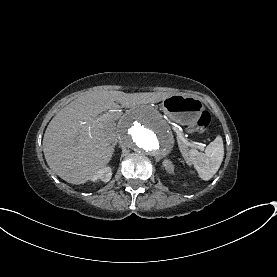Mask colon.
I'll use <instances>...</instances> for the list:
<instances>
[{
    "instance_id": "5ec220e1",
    "label": "colon",
    "mask_w": 277,
    "mask_h": 277,
    "mask_svg": "<svg viewBox=\"0 0 277 277\" xmlns=\"http://www.w3.org/2000/svg\"><path fill=\"white\" fill-rule=\"evenodd\" d=\"M209 123L210 115L208 114V112L202 111L200 113L199 121L192 126L187 125L186 128H191L193 130H204L209 125Z\"/></svg>"
}]
</instances>
